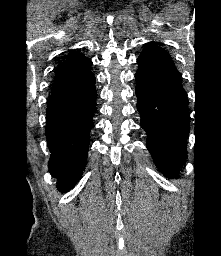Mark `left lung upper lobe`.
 <instances>
[{"label":"left lung upper lobe","instance_id":"5c2ea615","mask_svg":"<svg viewBox=\"0 0 221 256\" xmlns=\"http://www.w3.org/2000/svg\"><path fill=\"white\" fill-rule=\"evenodd\" d=\"M139 69H175L170 55L151 42L137 59Z\"/></svg>","mask_w":221,"mask_h":256}]
</instances>
